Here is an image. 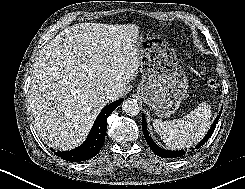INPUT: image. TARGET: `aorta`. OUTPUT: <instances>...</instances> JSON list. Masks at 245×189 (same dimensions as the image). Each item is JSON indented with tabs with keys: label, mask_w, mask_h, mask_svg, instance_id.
Here are the masks:
<instances>
[{
	"label": "aorta",
	"mask_w": 245,
	"mask_h": 189,
	"mask_svg": "<svg viewBox=\"0 0 245 189\" xmlns=\"http://www.w3.org/2000/svg\"><path fill=\"white\" fill-rule=\"evenodd\" d=\"M122 110L126 115L136 116L140 111V107L135 99H126L122 104Z\"/></svg>",
	"instance_id": "aorta-1"
}]
</instances>
